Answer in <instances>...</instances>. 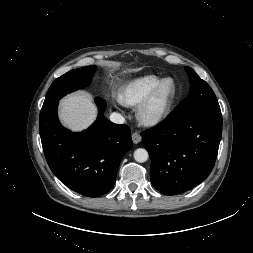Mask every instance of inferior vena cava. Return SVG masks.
Here are the masks:
<instances>
[{
  "label": "inferior vena cava",
  "mask_w": 253,
  "mask_h": 253,
  "mask_svg": "<svg viewBox=\"0 0 253 253\" xmlns=\"http://www.w3.org/2000/svg\"><path fill=\"white\" fill-rule=\"evenodd\" d=\"M110 121L116 124H123L125 122V119L121 114L113 112L110 115Z\"/></svg>",
  "instance_id": "inferior-vena-cava-1"
}]
</instances>
